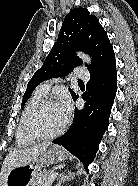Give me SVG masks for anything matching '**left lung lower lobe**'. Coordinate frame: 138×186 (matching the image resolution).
<instances>
[{"mask_svg": "<svg viewBox=\"0 0 138 186\" xmlns=\"http://www.w3.org/2000/svg\"><path fill=\"white\" fill-rule=\"evenodd\" d=\"M88 92L82 95L86 100L83 111L75 109V118L69 132L55 140L79 158L88 172V165L93 162L99 143L108 128L109 116L117 91L116 61L99 71L91 73L86 85ZM78 95L73 96L75 101Z\"/></svg>", "mask_w": 138, "mask_h": 186, "instance_id": "left-lung-lower-lobe-1", "label": "left lung lower lobe"}]
</instances>
